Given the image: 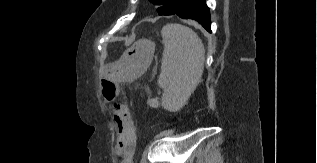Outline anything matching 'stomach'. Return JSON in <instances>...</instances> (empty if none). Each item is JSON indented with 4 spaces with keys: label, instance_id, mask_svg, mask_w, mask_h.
<instances>
[{
    "label": "stomach",
    "instance_id": "obj_1",
    "mask_svg": "<svg viewBox=\"0 0 317 163\" xmlns=\"http://www.w3.org/2000/svg\"><path fill=\"white\" fill-rule=\"evenodd\" d=\"M155 44L150 40H139L128 48L115 63L105 65L101 72L104 77L115 80H133L151 64Z\"/></svg>",
    "mask_w": 317,
    "mask_h": 163
}]
</instances>
